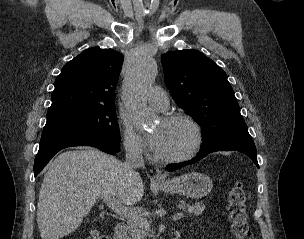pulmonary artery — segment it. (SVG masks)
Masks as SVG:
<instances>
[{
	"label": "pulmonary artery",
	"instance_id": "obj_1",
	"mask_svg": "<svg viewBox=\"0 0 304 239\" xmlns=\"http://www.w3.org/2000/svg\"><path fill=\"white\" fill-rule=\"evenodd\" d=\"M146 97L152 106L160 110H165L169 105L167 93L158 86L151 87L148 90Z\"/></svg>",
	"mask_w": 304,
	"mask_h": 239
}]
</instances>
